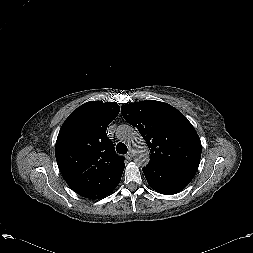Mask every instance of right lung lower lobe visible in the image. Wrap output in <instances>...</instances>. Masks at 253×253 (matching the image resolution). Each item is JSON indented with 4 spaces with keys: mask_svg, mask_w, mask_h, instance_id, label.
Returning a JSON list of instances; mask_svg holds the SVG:
<instances>
[{
    "mask_svg": "<svg viewBox=\"0 0 253 253\" xmlns=\"http://www.w3.org/2000/svg\"><path fill=\"white\" fill-rule=\"evenodd\" d=\"M118 184H119V183H118ZM118 184H116L113 188H111V189L108 190L107 192H105V193L101 194L100 196H98L96 199L103 198V197L107 196L108 194H110V193L116 188V186H117Z\"/></svg>",
    "mask_w": 253,
    "mask_h": 253,
    "instance_id": "98d812e1",
    "label": "right lung lower lobe"
}]
</instances>
